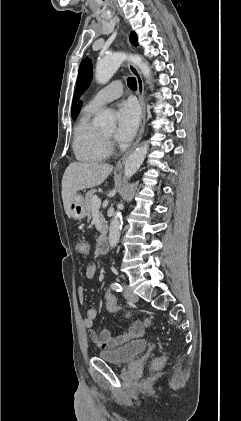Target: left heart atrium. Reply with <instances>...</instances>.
Returning <instances> with one entry per match:
<instances>
[{
	"instance_id": "1",
	"label": "left heart atrium",
	"mask_w": 241,
	"mask_h": 421,
	"mask_svg": "<svg viewBox=\"0 0 241 421\" xmlns=\"http://www.w3.org/2000/svg\"><path fill=\"white\" fill-rule=\"evenodd\" d=\"M118 127L115 133L117 141L127 143L134 137L140 120V110L132 100H127L118 106Z\"/></svg>"
}]
</instances>
